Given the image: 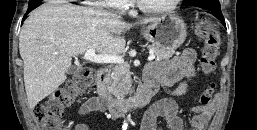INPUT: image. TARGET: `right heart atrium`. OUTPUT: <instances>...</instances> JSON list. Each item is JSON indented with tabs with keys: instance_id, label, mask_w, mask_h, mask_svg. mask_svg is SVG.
<instances>
[{
	"instance_id": "right-heart-atrium-1",
	"label": "right heart atrium",
	"mask_w": 257,
	"mask_h": 130,
	"mask_svg": "<svg viewBox=\"0 0 257 130\" xmlns=\"http://www.w3.org/2000/svg\"><path fill=\"white\" fill-rule=\"evenodd\" d=\"M132 0H102L101 5L119 10H124L130 6Z\"/></svg>"
}]
</instances>
